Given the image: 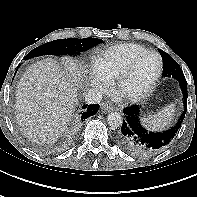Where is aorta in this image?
<instances>
[{
	"mask_svg": "<svg viewBox=\"0 0 197 197\" xmlns=\"http://www.w3.org/2000/svg\"><path fill=\"white\" fill-rule=\"evenodd\" d=\"M107 122L110 127L117 128L120 127L123 123L122 116L117 112H111L107 116Z\"/></svg>",
	"mask_w": 197,
	"mask_h": 197,
	"instance_id": "1",
	"label": "aorta"
}]
</instances>
